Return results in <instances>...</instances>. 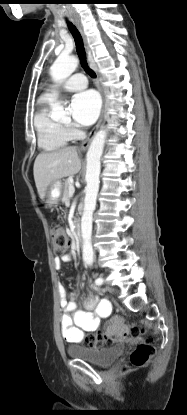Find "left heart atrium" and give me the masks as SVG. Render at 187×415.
Masks as SVG:
<instances>
[{
    "label": "left heart atrium",
    "instance_id": "1",
    "mask_svg": "<svg viewBox=\"0 0 187 415\" xmlns=\"http://www.w3.org/2000/svg\"><path fill=\"white\" fill-rule=\"evenodd\" d=\"M101 101L94 90H86L73 96L70 110L73 119L82 126H89L97 119Z\"/></svg>",
    "mask_w": 187,
    "mask_h": 415
}]
</instances>
